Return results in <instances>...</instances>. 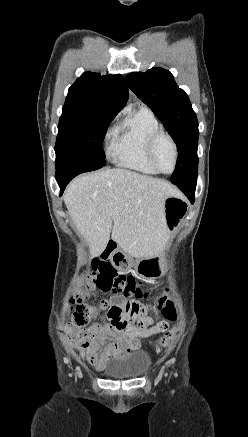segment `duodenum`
<instances>
[{
  "label": "duodenum",
  "mask_w": 248,
  "mask_h": 437,
  "mask_svg": "<svg viewBox=\"0 0 248 437\" xmlns=\"http://www.w3.org/2000/svg\"><path fill=\"white\" fill-rule=\"evenodd\" d=\"M118 244L115 240H110L106 248L101 250V255L103 257H114L117 251Z\"/></svg>",
  "instance_id": "duodenum-1"
}]
</instances>
